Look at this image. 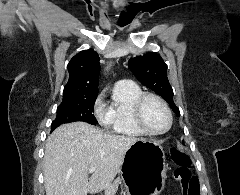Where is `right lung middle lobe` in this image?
I'll list each match as a JSON object with an SVG mask.
<instances>
[{
  "label": "right lung middle lobe",
  "mask_w": 240,
  "mask_h": 195,
  "mask_svg": "<svg viewBox=\"0 0 240 195\" xmlns=\"http://www.w3.org/2000/svg\"><path fill=\"white\" fill-rule=\"evenodd\" d=\"M96 97L63 98L57 109L56 119L52 122L51 131L59 125L69 122L83 121L96 125L93 115Z\"/></svg>",
  "instance_id": "obj_1"
}]
</instances>
